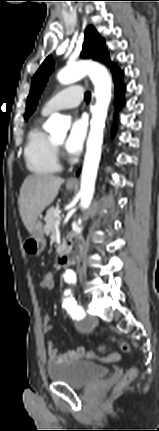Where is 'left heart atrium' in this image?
<instances>
[{
    "mask_svg": "<svg viewBox=\"0 0 159 431\" xmlns=\"http://www.w3.org/2000/svg\"><path fill=\"white\" fill-rule=\"evenodd\" d=\"M86 131L87 122L85 118H76L72 121L65 141V148L69 154L76 155L81 152L86 137Z\"/></svg>",
    "mask_w": 159,
    "mask_h": 431,
    "instance_id": "39dd6f15",
    "label": "left heart atrium"
}]
</instances>
